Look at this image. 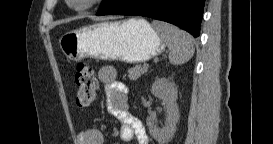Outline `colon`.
I'll use <instances>...</instances> for the list:
<instances>
[{"label":"colon","mask_w":273,"mask_h":144,"mask_svg":"<svg viewBox=\"0 0 273 144\" xmlns=\"http://www.w3.org/2000/svg\"><path fill=\"white\" fill-rule=\"evenodd\" d=\"M77 87L76 103L79 107H88L97 93V78L94 71L83 63H78L74 72Z\"/></svg>","instance_id":"1"}]
</instances>
